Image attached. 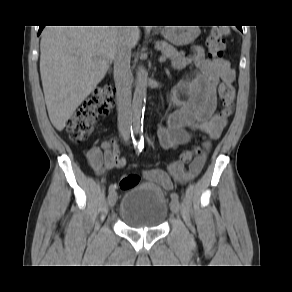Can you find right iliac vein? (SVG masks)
I'll return each instance as SVG.
<instances>
[{
    "mask_svg": "<svg viewBox=\"0 0 292 292\" xmlns=\"http://www.w3.org/2000/svg\"><path fill=\"white\" fill-rule=\"evenodd\" d=\"M116 201H117V193L115 191L109 193L108 206L110 208L114 207V205L116 204Z\"/></svg>",
    "mask_w": 292,
    "mask_h": 292,
    "instance_id": "obj_1",
    "label": "right iliac vein"
}]
</instances>
